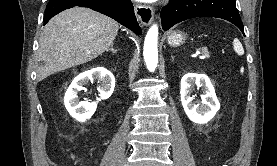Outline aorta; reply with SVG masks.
I'll use <instances>...</instances> for the list:
<instances>
[{
  "instance_id": "aorta-1",
  "label": "aorta",
  "mask_w": 277,
  "mask_h": 166,
  "mask_svg": "<svg viewBox=\"0 0 277 166\" xmlns=\"http://www.w3.org/2000/svg\"><path fill=\"white\" fill-rule=\"evenodd\" d=\"M158 26L152 25L147 32L144 41V60L149 71L153 72L158 64Z\"/></svg>"
}]
</instances>
